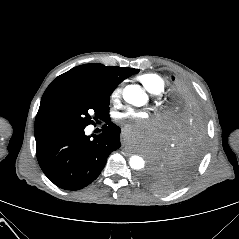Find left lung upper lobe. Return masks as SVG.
Listing matches in <instances>:
<instances>
[{"instance_id":"obj_1","label":"left lung upper lobe","mask_w":239,"mask_h":239,"mask_svg":"<svg viewBox=\"0 0 239 239\" xmlns=\"http://www.w3.org/2000/svg\"><path fill=\"white\" fill-rule=\"evenodd\" d=\"M172 80L174 81V88L172 90V97L170 101L172 104L168 113L169 128L177 132V134H180V136H182L180 138L182 139L179 140L181 142H185V140L189 139H187V135H185L187 133H184L185 127H183V124L179 119L182 107L189 102L200 103V100L194 88H192L187 82L180 79H175L174 76H172ZM168 152L170 153H164L166 154L164 155V158H167L164 160H166L168 166L170 167L151 166L149 170L141 177L142 182L146 186L157 192H169L176 188L174 183L175 181L171 178L173 175L170 174H174V176H180L178 179H182V182H185L193 173L199 159L201 158L203 149L200 151L201 153L197 156V158L192 162L190 161V163L185 162L181 157H179V155H171L173 154V151ZM182 182L180 181L176 184H183Z\"/></svg>"}]
</instances>
